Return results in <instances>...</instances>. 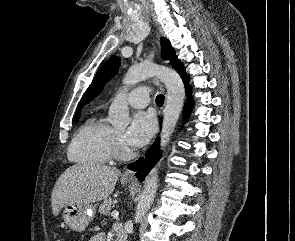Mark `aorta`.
<instances>
[{"label":"aorta","instance_id":"762f6f07","mask_svg":"<svg viewBox=\"0 0 295 241\" xmlns=\"http://www.w3.org/2000/svg\"><path fill=\"white\" fill-rule=\"evenodd\" d=\"M158 77L166 86V106L164 109L160 149L165 150L178 122L185 98V87L181 77L174 70L150 63L131 66L124 76V91L118 94L109 108L108 122L115 128L125 129L130 123L129 108L125 101L128 86L150 77ZM159 165L155 166L144 181L136 207V217L141 218L153 203L158 188Z\"/></svg>","mask_w":295,"mask_h":241}]
</instances>
